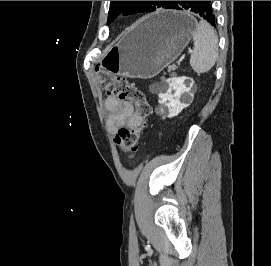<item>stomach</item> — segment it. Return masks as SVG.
Here are the masks:
<instances>
[{
  "mask_svg": "<svg viewBox=\"0 0 271 266\" xmlns=\"http://www.w3.org/2000/svg\"><path fill=\"white\" fill-rule=\"evenodd\" d=\"M196 29V20L185 11L162 10L129 28L107 48L101 65L129 78L156 76L181 54Z\"/></svg>",
  "mask_w": 271,
  "mask_h": 266,
  "instance_id": "1",
  "label": "stomach"
}]
</instances>
